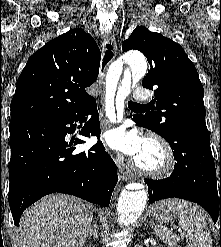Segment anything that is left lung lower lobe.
<instances>
[{
	"instance_id": "1",
	"label": "left lung lower lobe",
	"mask_w": 221,
	"mask_h": 247,
	"mask_svg": "<svg viewBox=\"0 0 221 247\" xmlns=\"http://www.w3.org/2000/svg\"><path fill=\"white\" fill-rule=\"evenodd\" d=\"M133 120L143 126L138 116ZM170 146L176 160L174 171L170 177L162 180L145 179L149 202L174 197L189 200L201 205L214 223L220 213L221 224V173L219 192L209 133L182 137Z\"/></svg>"
}]
</instances>
